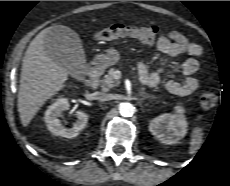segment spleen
Wrapping results in <instances>:
<instances>
[{
  "label": "spleen",
  "mask_w": 230,
  "mask_h": 186,
  "mask_svg": "<svg viewBox=\"0 0 230 186\" xmlns=\"http://www.w3.org/2000/svg\"><path fill=\"white\" fill-rule=\"evenodd\" d=\"M202 141L201 129L195 128L192 132V138L190 141V153H194L195 150L201 145Z\"/></svg>",
  "instance_id": "1"
}]
</instances>
